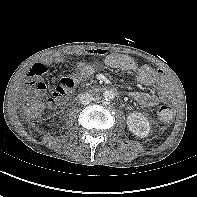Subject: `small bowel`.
<instances>
[{
	"mask_svg": "<svg viewBox=\"0 0 197 197\" xmlns=\"http://www.w3.org/2000/svg\"><path fill=\"white\" fill-rule=\"evenodd\" d=\"M72 55L76 56H92L98 57L105 55L104 50L101 49H87L83 51H73ZM65 57L62 55H55L41 60L39 63L34 64L29 70L28 75L31 78H37L45 75L48 71L50 64H62ZM104 63L112 69L122 70L134 74L137 81L144 85L149 86L156 83L159 86L160 92L158 95L147 92L134 91L131 97L143 107H153L160 101H170L173 97V85L163 77L161 70L153 68L148 65H138L133 58L127 55L110 53L105 56ZM99 65L96 62H79L77 64V73L72 77L75 82H79L94 74ZM34 81H31L29 85Z\"/></svg>",
	"mask_w": 197,
	"mask_h": 197,
	"instance_id": "c3829d8e",
	"label": "small bowel"
}]
</instances>
